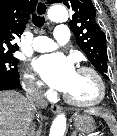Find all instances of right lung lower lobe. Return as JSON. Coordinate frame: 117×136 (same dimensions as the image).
<instances>
[{"label": "right lung lower lobe", "instance_id": "1", "mask_svg": "<svg viewBox=\"0 0 117 136\" xmlns=\"http://www.w3.org/2000/svg\"><path fill=\"white\" fill-rule=\"evenodd\" d=\"M8 89H21L19 77L0 76V91Z\"/></svg>", "mask_w": 117, "mask_h": 136}]
</instances>
